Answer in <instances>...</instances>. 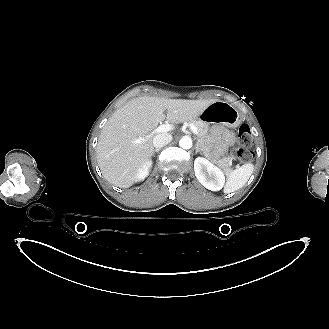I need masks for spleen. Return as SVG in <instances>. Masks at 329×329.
<instances>
[{"label": "spleen", "mask_w": 329, "mask_h": 329, "mask_svg": "<svg viewBox=\"0 0 329 329\" xmlns=\"http://www.w3.org/2000/svg\"><path fill=\"white\" fill-rule=\"evenodd\" d=\"M254 171V165L247 163L227 174L224 193L229 194L242 188Z\"/></svg>", "instance_id": "obj_1"}]
</instances>
